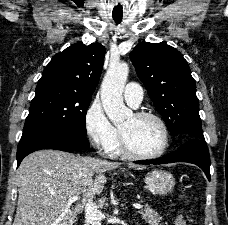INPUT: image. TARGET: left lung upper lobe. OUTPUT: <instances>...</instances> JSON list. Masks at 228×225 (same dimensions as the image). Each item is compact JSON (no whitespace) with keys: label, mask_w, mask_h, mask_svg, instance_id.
<instances>
[{"label":"left lung upper lobe","mask_w":228,"mask_h":225,"mask_svg":"<svg viewBox=\"0 0 228 225\" xmlns=\"http://www.w3.org/2000/svg\"><path fill=\"white\" fill-rule=\"evenodd\" d=\"M130 58L170 133L204 139L196 83L181 53L162 43H141Z\"/></svg>","instance_id":"1"}]
</instances>
